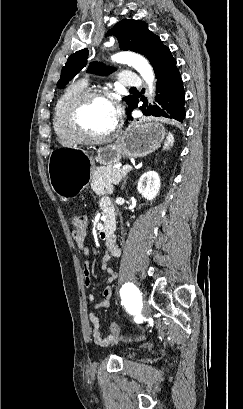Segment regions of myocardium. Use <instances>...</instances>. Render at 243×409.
Wrapping results in <instances>:
<instances>
[{"label": "myocardium", "mask_w": 243, "mask_h": 409, "mask_svg": "<svg viewBox=\"0 0 243 409\" xmlns=\"http://www.w3.org/2000/svg\"><path fill=\"white\" fill-rule=\"evenodd\" d=\"M91 100H102L111 105L116 115L115 125L109 131L99 134H88L83 128L80 120V113L83 106ZM119 112L114 97L107 91L100 89H85L76 93L67 103L65 110V123L69 131L82 142L95 143L102 142L113 136L119 127Z\"/></svg>", "instance_id": "obj_1"}]
</instances>
